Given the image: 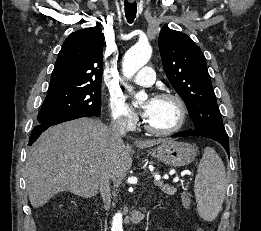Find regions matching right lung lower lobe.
Returning a JSON list of instances; mask_svg holds the SVG:
<instances>
[{"mask_svg": "<svg viewBox=\"0 0 261 231\" xmlns=\"http://www.w3.org/2000/svg\"><path fill=\"white\" fill-rule=\"evenodd\" d=\"M94 115L92 114H87V113H79V114H71V115H67V116H62L50 121H46L43 123H40L38 126L34 127V129L31 132L30 135V140H29V146H31L36 139L41 135V133L43 131H45L47 128H49L50 126L65 122V121H69V120H73V119H77V118H81V117H92Z\"/></svg>", "mask_w": 261, "mask_h": 231, "instance_id": "obj_1", "label": "right lung lower lobe"}]
</instances>
